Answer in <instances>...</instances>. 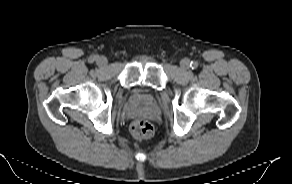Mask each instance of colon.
I'll return each mask as SVG.
<instances>
[{"mask_svg":"<svg viewBox=\"0 0 292 184\" xmlns=\"http://www.w3.org/2000/svg\"><path fill=\"white\" fill-rule=\"evenodd\" d=\"M130 130L132 135L138 139H147L154 134L153 125L145 120H135L132 122Z\"/></svg>","mask_w":292,"mask_h":184,"instance_id":"1","label":"colon"}]
</instances>
